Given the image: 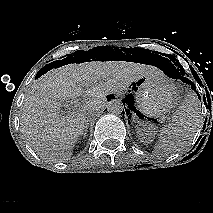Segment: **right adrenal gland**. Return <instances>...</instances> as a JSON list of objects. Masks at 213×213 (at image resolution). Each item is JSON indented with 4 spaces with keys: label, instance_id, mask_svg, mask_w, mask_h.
Returning <instances> with one entry per match:
<instances>
[{
    "label": "right adrenal gland",
    "instance_id": "right-adrenal-gland-1",
    "mask_svg": "<svg viewBox=\"0 0 213 213\" xmlns=\"http://www.w3.org/2000/svg\"><path fill=\"white\" fill-rule=\"evenodd\" d=\"M88 126H89V123H86V124H85V127H84V130H83V132H82V134H81V135H83V137H86V136H87Z\"/></svg>",
    "mask_w": 213,
    "mask_h": 213
}]
</instances>
